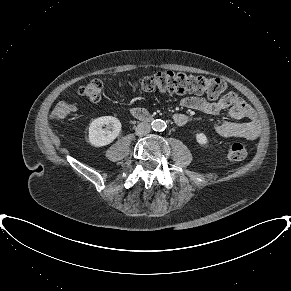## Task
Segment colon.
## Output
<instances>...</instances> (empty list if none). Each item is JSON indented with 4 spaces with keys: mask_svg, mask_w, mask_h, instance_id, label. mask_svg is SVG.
<instances>
[{
    "mask_svg": "<svg viewBox=\"0 0 291 291\" xmlns=\"http://www.w3.org/2000/svg\"><path fill=\"white\" fill-rule=\"evenodd\" d=\"M135 88L147 93L162 94H207L211 99L221 97L226 93V84L219 78L205 75H192L182 72L162 71L135 81ZM104 84L99 79H91L83 84L78 93L91 102L101 99ZM75 111V106L67 103H58L52 113L55 120L69 117ZM247 149L242 143L232 144L227 157L231 161H242L247 157Z\"/></svg>",
    "mask_w": 291,
    "mask_h": 291,
    "instance_id": "colon-1",
    "label": "colon"
}]
</instances>
